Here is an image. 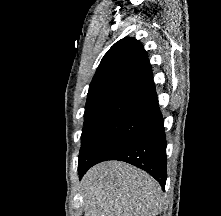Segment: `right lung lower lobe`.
<instances>
[{
    "label": "right lung lower lobe",
    "instance_id": "obj_1",
    "mask_svg": "<svg viewBox=\"0 0 221 216\" xmlns=\"http://www.w3.org/2000/svg\"><path fill=\"white\" fill-rule=\"evenodd\" d=\"M106 160L124 161L141 168L153 176L164 189L167 176L166 138L159 107L149 115L146 128L134 140L116 150ZM93 165L95 164L78 167L80 179Z\"/></svg>",
    "mask_w": 221,
    "mask_h": 216
}]
</instances>
